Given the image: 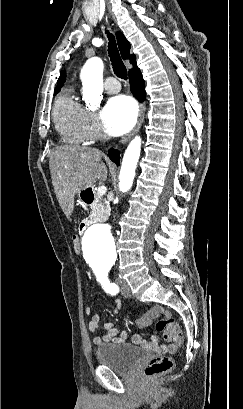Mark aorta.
<instances>
[{"label": "aorta", "instance_id": "obj_1", "mask_svg": "<svg viewBox=\"0 0 243 409\" xmlns=\"http://www.w3.org/2000/svg\"><path fill=\"white\" fill-rule=\"evenodd\" d=\"M103 62L98 57L87 60L81 70L83 95L92 107H98L103 91ZM141 151V138L135 137L128 145L120 170L119 189L130 190L135 177V170ZM82 247L88 260L100 261L115 254V241L111 229L106 224H94L88 227L82 238Z\"/></svg>", "mask_w": 243, "mask_h": 409}]
</instances>
